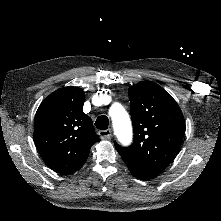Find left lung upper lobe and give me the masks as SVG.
Returning <instances> with one entry per match:
<instances>
[{
    "mask_svg": "<svg viewBox=\"0 0 221 221\" xmlns=\"http://www.w3.org/2000/svg\"><path fill=\"white\" fill-rule=\"evenodd\" d=\"M134 141L129 148H115L137 178L147 180L163 171L176 157L185 121L173 97L152 81L128 90Z\"/></svg>",
    "mask_w": 221,
    "mask_h": 221,
    "instance_id": "obj_1",
    "label": "left lung upper lobe"
}]
</instances>
